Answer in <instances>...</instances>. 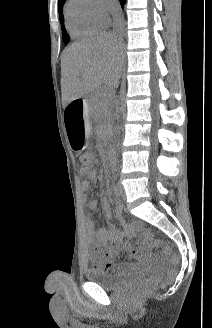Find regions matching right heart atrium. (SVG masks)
I'll use <instances>...</instances> for the list:
<instances>
[{
	"mask_svg": "<svg viewBox=\"0 0 212 328\" xmlns=\"http://www.w3.org/2000/svg\"><path fill=\"white\" fill-rule=\"evenodd\" d=\"M94 13L104 21H108L115 10L114 0H90Z\"/></svg>",
	"mask_w": 212,
	"mask_h": 328,
	"instance_id": "1",
	"label": "right heart atrium"
}]
</instances>
